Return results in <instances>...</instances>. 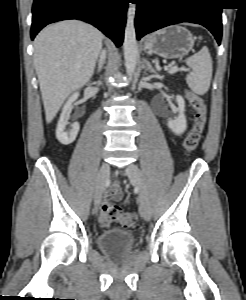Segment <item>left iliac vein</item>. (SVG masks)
I'll return each mask as SVG.
<instances>
[{"instance_id": "left-iliac-vein-1", "label": "left iliac vein", "mask_w": 246, "mask_h": 300, "mask_svg": "<svg viewBox=\"0 0 246 300\" xmlns=\"http://www.w3.org/2000/svg\"><path fill=\"white\" fill-rule=\"evenodd\" d=\"M132 185L139 189V211L143 219L149 221L151 218V207L144 182L142 171L136 164H129L125 170Z\"/></svg>"}]
</instances>
